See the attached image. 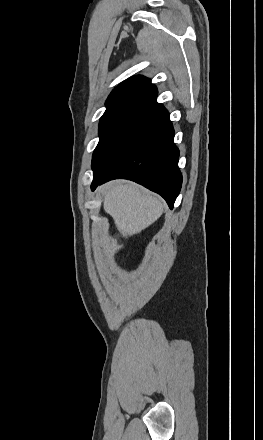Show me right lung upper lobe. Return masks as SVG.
Listing matches in <instances>:
<instances>
[{"label": "right lung upper lobe", "instance_id": "1", "mask_svg": "<svg viewBox=\"0 0 263 440\" xmlns=\"http://www.w3.org/2000/svg\"><path fill=\"white\" fill-rule=\"evenodd\" d=\"M156 97L157 88L150 79L144 76H134L122 82L111 92L106 101V111L117 108L161 107Z\"/></svg>", "mask_w": 263, "mask_h": 440}]
</instances>
